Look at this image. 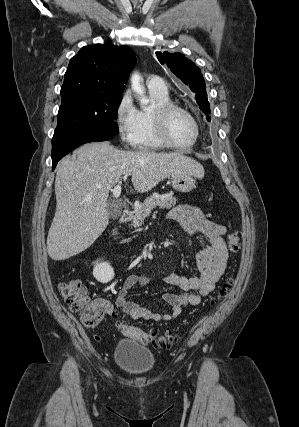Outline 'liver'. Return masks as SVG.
Returning <instances> with one entry per match:
<instances>
[{
    "label": "liver",
    "mask_w": 299,
    "mask_h": 427,
    "mask_svg": "<svg viewBox=\"0 0 299 427\" xmlns=\"http://www.w3.org/2000/svg\"><path fill=\"white\" fill-rule=\"evenodd\" d=\"M204 176L200 163L181 153L124 151L108 142L81 146L57 165L56 211L47 237L52 260L61 261L89 248L109 223V191L132 176L135 192L145 193L172 174Z\"/></svg>",
    "instance_id": "6515ba94"
}]
</instances>
